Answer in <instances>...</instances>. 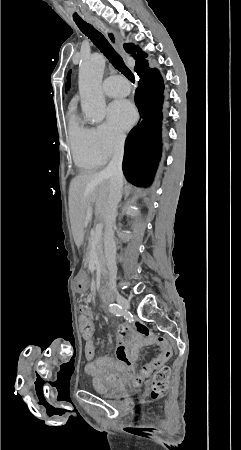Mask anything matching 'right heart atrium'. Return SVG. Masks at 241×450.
Returning a JSON list of instances; mask_svg holds the SVG:
<instances>
[{
  "label": "right heart atrium",
  "instance_id": "d8ad5b80",
  "mask_svg": "<svg viewBox=\"0 0 241 450\" xmlns=\"http://www.w3.org/2000/svg\"><path fill=\"white\" fill-rule=\"evenodd\" d=\"M97 131L93 130L91 136L94 142V150L103 159L107 160L112 158L114 155H126L127 147L123 146L124 136L112 130L106 125H100ZM114 152V153H113Z\"/></svg>",
  "mask_w": 241,
  "mask_h": 450
}]
</instances>
